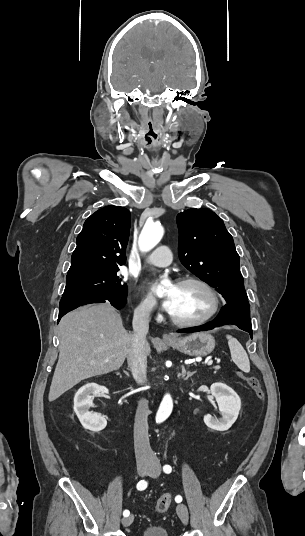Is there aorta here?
<instances>
[{
	"label": "aorta",
	"mask_w": 305,
	"mask_h": 536,
	"mask_svg": "<svg viewBox=\"0 0 305 536\" xmlns=\"http://www.w3.org/2000/svg\"><path fill=\"white\" fill-rule=\"evenodd\" d=\"M164 234V229L160 224H147L143 227L141 234L139 236L138 245L141 252H148L153 249L159 241L162 239ZM163 281L157 288V295L162 296L164 294V284ZM173 409V401L170 394H165L158 412L156 414V422L161 423L165 421L171 414Z\"/></svg>",
	"instance_id": "1"
}]
</instances>
